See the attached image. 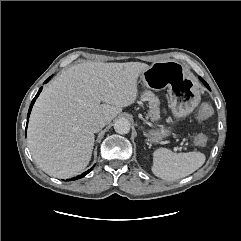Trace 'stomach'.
I'll use <instances>...</instances> for the list:
<instances>
[{
    "mask_svg": "<svg viewBox=\"0 0 241 241\" xmlns=\"http://www.w3.org/2000/svg\"><path fill=\"white\" fill-rule=\"evenodd\" d=\"M140 81L155 91L168 89L170 108L175 118L190 114L201 99L194 79L182 63L174 60L153 63L140 74ZM169 134L170 130L165 127L148 131L149 140L155 143L161 142Z\"/></svg>",
    "mask_w": 241,
    "mask_h": 241,
    "instance_id": "1",
    "label": "stomach"
}]
</instances>
